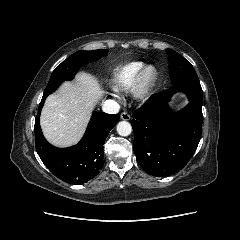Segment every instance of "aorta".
<instances>
[{"instance_id":"762f6f07","label":"aorta","mask_w":240,"mask_h":240,"mask_svg":"<svg viewBox=\"0 0 240 240\" xmlns=\"http://www.w3.org/2000/svg\"><path fill=\"white\" fill-rule=\"evenodd\" d=\"M116 130L120 136H128L132 132V126L127 121H121L117 124Z\"/></svg>"}]
</instances>
